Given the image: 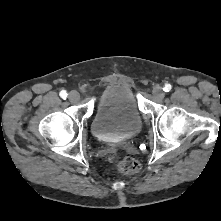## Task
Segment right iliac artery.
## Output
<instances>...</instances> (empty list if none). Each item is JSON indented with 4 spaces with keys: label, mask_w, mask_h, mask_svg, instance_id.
Segmentation results:
<instances>
[{
    "label": "right iliac artery",
    "mask_w": 221,
    "mask_h": 221,
    "mask_svg": "<svg viewBox=\"0 0 221 221\" xmlns=\"http://www.w3.org/2000/svg\"><path fill=\"white\" fill-rule=\"evenodd\" d=\"M60 97L63 98V99H66V98H67V93H66L65 90H62V91L60 92Z\"/></svg>",
    "instance_id": "obj_1"
}]
</instances>
